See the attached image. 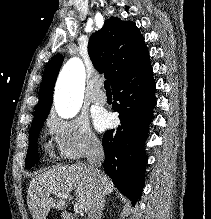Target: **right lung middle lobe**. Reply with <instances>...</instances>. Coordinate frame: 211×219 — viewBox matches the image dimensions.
I'll return each instance as SVG.
<instances>
[{"instance_id": "obj_1", "label": "right lung middle lobe", "mask_w": 211, "mask_h": 219, "mask_svg": "<svg viewBox=\"0 0 211 219\" xmlns=\"http://www.w3.org/2000/svg\"><path fill=\"white\" fill-rule=\"evenodd\" d=\"M48 113L35 116L30 129V143L27 151L25 167L28 169L39 161L37 139Z\"/></svg>"}]
</instances>
